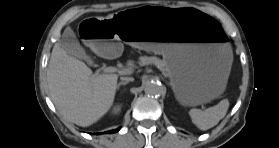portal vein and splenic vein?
<instances>
[{
  "label": "portal vein and splenic vein",
  "mask_w": 279,
  "mask_h": 148,
  "mask_svg": "<svg viewBox=\"0 0 279 148\" xmlns=\"http://www.w3.org/2000/svg\"><path fill=\"white\" fill-rule=\"evenodd\" d=\"M102 71H103L104 73H115V72L120 73V72H121V70H119V69L116 68V67H103V68H102ZM201 108H202V109H205V107H204L203 105H201Z\"/></svg>",
  "instance_id": "18ae733b"
}]
</instances>
